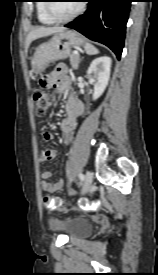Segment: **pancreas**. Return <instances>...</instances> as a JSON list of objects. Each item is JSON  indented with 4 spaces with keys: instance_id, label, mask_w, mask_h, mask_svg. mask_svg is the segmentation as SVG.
<instances>
[{
    "instance_id": "cf45deb5",
    "label": "pancreas",
    "mask_w": 158,
    "mask_h": 275,
    "mask_svg": "<svg viewBox=\"0 0 158 275\" xmlns=\"http://www.w3.org/2000/svg\"><path fill=\"white\" fill-rule=\"evenodd\" d=\"M69 57H70V64H71L72 69H74V70L78 69V65H79V61H80L79 55L71 53Z\"/></svg>"
}]
</instances>
